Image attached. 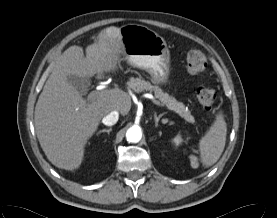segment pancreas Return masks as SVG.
I'll return each mask as SVG.
<instances>
[{"label":"pancreas","instance_id":"pancreas-1","mask_svg":"<svg viewBox=\"0 0 277 218\" xmlns=\"http://www.w3.org/2000/svg\"><path fill=\"white\" fill-rule=\"evenodd\" d=\"M127 84L136 93L145 91L153 93L155 97L161 101V104L165 105L169 110L176 112L181 118L189 123L193 124L195 122L194 117L183 103L178 102L168 93L163 92L158 86H153L150 82L141 78H130V81Z\"/></svg>","mask_w":277,"mask_h":218}]
</instances>
